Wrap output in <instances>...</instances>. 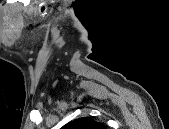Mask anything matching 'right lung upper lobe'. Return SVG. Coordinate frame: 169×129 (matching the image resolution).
Listing matches in <instances>:
<instances>
[{"label":"right lung upper lobe","instance_id":"cb5924a9","mask_svg":"<svg viewBox=\"0 0 169 129\" xmlns=\"http://www.w3.org/2000/svg\"><path fill=\"white\" fill-rule=\"evenodd\" d=\"M64 129H105V126L92 118L83 117L67 123L63 126Z\"/></svg>","mask_w":169,"mask_h":129}]
</instances>
